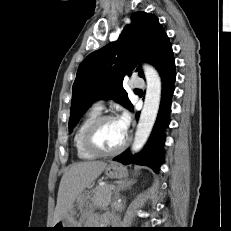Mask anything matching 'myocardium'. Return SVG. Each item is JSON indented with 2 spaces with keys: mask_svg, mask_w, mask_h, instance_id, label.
<instances>
[{
  "mask_svg": "<svg viewBox=\"0 0 231 231\" xmlns=\"http://www.w3.org/2000/svg\"><path fill=\"white\" fill-rule=\"evenodd\" d=\"M117 120L112 115H100L98 116L86 129L84 133V146L85 148L96 156H114L121 153L128 146L130 142V136L126 134V138L123 143L113 150H103L96 143V134L99 128L107 121Z\"/></svg>",
  "mask_w": 231,
  "mask_h": 231,
  "instance_id": "f54148a6",
  "label": "myocardium"
}]
</instances>
